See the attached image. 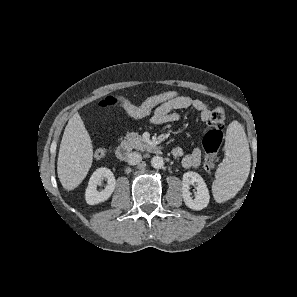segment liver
<instances>
[{"mask_svg": "<svg viewBox=\"0 0 297 297\" xmlns=\"http://www.w3.org/2000/svg\"><path fill=\"white\" fill-rule=\"evenodd\" d=\"M93 160L90 136L79 113L69 119L60 144L57 173L64 189L78 187L86 177Z\"/></svg>", "mask_w": 297, "mask_h": 297, "instance_id": "6515ba94", "label": "liver"}]
</instances>
